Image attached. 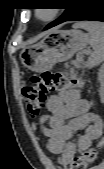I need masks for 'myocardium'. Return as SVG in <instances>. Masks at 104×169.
I'll return each mask as SVG.
<instances>
[{
	"label": "myocardium",
	"instance_id": "1",
	"mask_svg": "<svg viewBox=\"0 0 104 169\" xmlns=\"http://www.w3.org/2000/svg\"><path fill=\"white\" fill-rule=\"evenodd\" d=\"M35 15L37 18L43 20V21H51L56 18L57 16V10H52V12L47 13L46 16H41V10L36 9L35 10Z\"/></svg>",
	"mask_w": 104,
	"mask_h": 169
}]
</instances>
